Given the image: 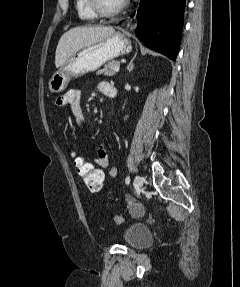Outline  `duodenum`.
<instances>
[{
  "label": "duodenum",
  "instance_id": "410a0bca",
  "mask_svg": "<svg viewBox=\"0 0 240 287\" xmlns=\"http://www.w3.org/2000/svg\"><path fill=\"white\" fill-rule=\"evenodd\" d=\"M117 96V90L114 88L109 94L108 97L115 98Z\"/></svg>",
  "mask_w": 240,
  "mask_h": 287
}]
</instances>
